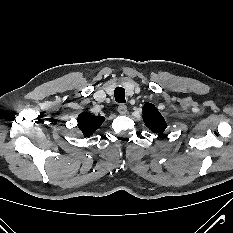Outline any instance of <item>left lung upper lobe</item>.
I'll list each match as a JSON object with an SVG mask.
<instances>
[{
	"instance_id": "left-lung-upper-lobe-1",
	"label": "left lung upper lobe",
	"mask_w": 233,
	"mask_h": 233,
	"mask_svg": "<svg viewBox=\"0 0 233 233\" xmlns=\"http://www.w3.org/2000/svg\"><path fill=\"white\" fill-rule=\"evenodd\" d=\"M143 121L155 133H163L167 127L165 119L152 103L143 106Z\"/></svg>"
}]
</instances>
